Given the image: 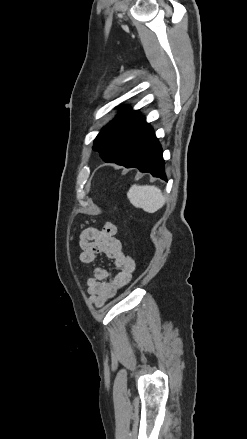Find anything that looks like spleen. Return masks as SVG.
I'll return each instance as SVG.
<instances>
[{
	"mask_svg": "<svg viewBox=\"0 0 247 439\" xmlns=\"http://www.w3.org/2000/svg\"><path fill=\"white\" fill-rule=\"evenodd\" d=\"M127 197L136 208H141L147 213H155L165 204V197L161 190L151 185H132L127 192Z\"/></svg>",
	"mask_w": 247,
	"mask_h": 439,
	"instance_id": "3e777b00",
	"label": "spleen"
}]
</instances>
